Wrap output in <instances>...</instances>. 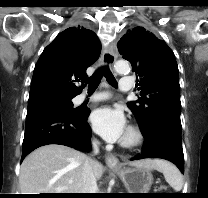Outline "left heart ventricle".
Here are the masks:
<instances>
[{
	"label": "left heart ventricle",
	"mask_w": 208,
	"mask_h": 198,
	"mask_svg": "<svg viewBox=\"0 0 208 198\" xmlns=\"http://www.w3.org/2000/svg\"><path fill=\"white\" fill-rule=\"evenodd\" d=\"M124 137H128V132H127V131H126V133H125Z\"/></svg>",
	"instance_id": "obj_1"
}]
</instances>
